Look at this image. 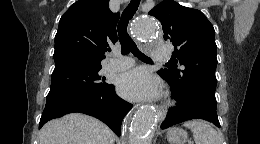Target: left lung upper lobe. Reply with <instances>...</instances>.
I'll use <instances>...</instances> for the list:
<instances>
[{"mask_svg": "<svg viewBox=\"0 0 260 144\" xmlns=\"http://www.w3.org/2000/svg\"><path fill=\"white\" fill-rule=\"evenodd\" d=\"M149 14L161 22L165 41L175 47V66L158 71L171 91L180 94L196 89L215 96L217 46L214 27L206 16L173 0H164ZM177 62L185 68L176 69Z\"/></svg>", "mask_w": 260, "mask_h": 144, "instance_id": "obj_1", "label": "left lung upper lobe"}]
</instances>
